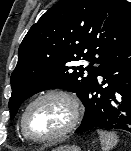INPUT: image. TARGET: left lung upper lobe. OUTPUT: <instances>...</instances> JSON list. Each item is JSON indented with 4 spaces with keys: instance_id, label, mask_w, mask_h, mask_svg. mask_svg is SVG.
<instances>
[{
    "instance_id": "left-lung-upper-lobe-1",
    "label": "left lung upper lobe",
    "mask_w": 131,
    "mask_h": 151,
    "mask_svg": "<svg viewBox=\"0 0 131 151\" xmlns=\"http://www.w3.org/2000/svg\"><path fill=\"white\" fill-rule=\"evenodd\" d=\"M130 42L131 8L125 0H60L30 28L19 47L10 78L11 118L24 100L51 88L76 92L84 102L99 66ZM79 60L90 64L76 66Z\"/></svg>"
}]
</instances>
